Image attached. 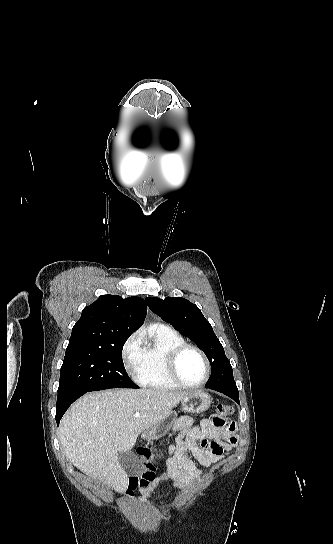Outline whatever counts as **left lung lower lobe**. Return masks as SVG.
<instances>
[{
    "label": "left lung lower lobe",
    "instance_id": "left-lung-lower-lobe-1",
    "mask_svg": "<svg viewBox=\"0 0 333 544\" xmlns=\"http://www.w3.org/2000/svg\"><path fill=\"white\" fill-rule=\"evenodd\" d=\"M215 391L221 392L230 398H232L234 401H236L239 404V393L235 390H221V389H213Z\"/></svg>",
    "mask_w": 333,
    "mask_h": 544
}]
</instances>
